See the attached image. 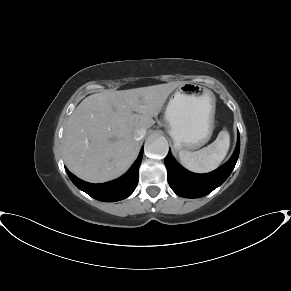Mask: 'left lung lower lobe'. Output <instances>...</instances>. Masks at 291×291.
I'll return each instance as SVG.
<instances>
[{
	"label": "left lung lower lobe",
	"instance_id": "obj_1",
	"mask_svg": "<svg viewBox=\"0 0 291 291\" xmlns=\"http://www.w3.org/2000/svg\"><path fill=\"white\" fill-rule=\"evenodd\" d=\"M240 151L238 137L236 149L230 160L217 170L207 174H195L182 168L172 157L169 150L165 158L167 179L172 190L185 198L203 197L220 186L231 174L235 167Z\"/></svg>",
	"mask_w": 291,
	"mask_h": 291
}]
</instances>
